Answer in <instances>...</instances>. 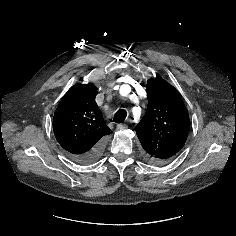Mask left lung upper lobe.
Returning a JSON list of instances; mask_svg holds the SVG:
<instances>
[{
    "label": "left lung upper lobe",
    "mask_w": 236,
    "mask_h": 236,
    "mask_svg": "<svg viewBox=\"0 0 236 236\" xmlns=\"http://www.w3.org/2000/svg\"><path fill=\"white\" fill-rule=\"evenodd\" d=\"M146 87L148 107L136 133L144 158L163 165L183 148L190 126L189 114L178 91L162 78L148 80Z\"/></svg>",
    "instance_id": "5c2ea615"
}]
</instances>
